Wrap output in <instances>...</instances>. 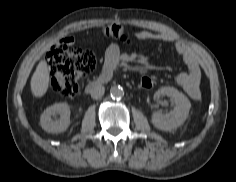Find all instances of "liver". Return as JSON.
<instances>
[{"label": "liver", "instance_id": "1", "mask_svg": "<svg viewBox=\"0 0 236 182\" xmlns=\"http://www.w3.org/2000/svg\"><path fill=\"white\" fill-rule=\"evenodd\" d=\"M50 73L45 60H41L32 75L30 86L34 97H43L49 87Z\"/></svg>", "mask_w": 236, "mask_h": 182}]
</instances>
